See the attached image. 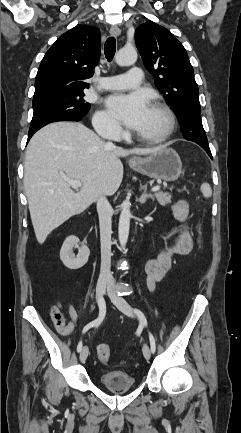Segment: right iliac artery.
Returning a JSON list of instances; mask_svg holds the SVG:
<instances>
[{
	"label": "right iliac artery",
	"mask_w": 241,
	"mask_h": 433,
	"mask_svg": "<svg viewBox=\"0 0 241 433\" xmlns=\"http://www.w3.org/2000/svg\"><path fill=\"white\" fill-rule=\"evenodd\" d=\"M98 303H99V316L97 319L90 322L89 324H87L83 328V331H82L83 333H85L86 331H88L92 327L99 326V324L103 321V319L105 317V313H106V306H105V302H104L103 298H101ZM81 350H82V341H80L77 345V352H80Z\"/></svg>",
	"instance_id": "1"
}]
</instances>
